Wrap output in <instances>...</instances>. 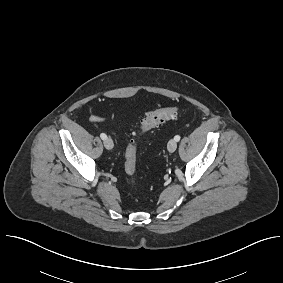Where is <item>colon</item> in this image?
I'll use <instances>...</instances> for the list:
<instances>
[{"instance_id": "1", "label": "colon", "mask_w": 283, "mask_h": 283, "mask_svg": "<svg viewBox=\"0 0 283 283\" xmlns=\"http://www.w3.org/2000/svg\"><path fill=\"white\" fill-rule=\"evenodd\" d=\"M178 112L177 107H164L149 112L140 122L134 136L127 146L125 152L124 170L126 174L134 178L137 170V139L143 133L163 124L172 119Z\"/></svg>"}]
</instances>
